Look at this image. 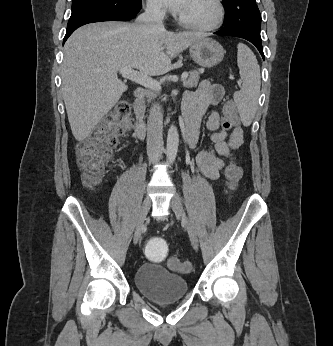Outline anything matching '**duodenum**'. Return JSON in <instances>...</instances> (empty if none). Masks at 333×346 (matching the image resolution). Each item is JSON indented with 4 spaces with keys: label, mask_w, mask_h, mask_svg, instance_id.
Returning a JSON list of instances; mask_svg holds the SVG:
<instances>
[{
    "label": "duodenum",
    "mask_w": 333,
    "mask_h": 346,
    "mask_svg": "<svg viewBox=\"0 0 333 346\" xmlns=\"http://www.w3.org/2000/svg\"><path fill=\"white\" fill-rule=\"evenodd\" d=\"M145 90L142 88H137L134 91L135 103H134V111H135V119L133 123V131L134 134L138 138H144L146 133V126L143 121V113H144V105L143 100L145 98ZM187 133H189L188 125L185 124Z\"/></svg>",
    "instance_id": "obj_1"
}]
</instances>
